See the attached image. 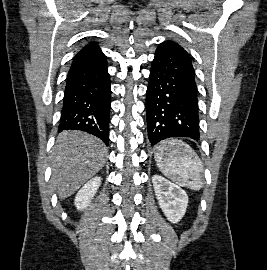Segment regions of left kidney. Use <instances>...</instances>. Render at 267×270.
I'll return each mask as SVG.
<instances>
[{
	"mask_svg": "<svg viewBox=\"0 0 267 270\" xmlns=\"http://www.w3.org/2000/svg\"><path fill=\"white\" fill-rule=\"evenodd\" d=\"M152 183L163 213L171 223H178L185 215L188 206L186 192L178 185L159 175L152 177Z\"/></svg>",
	"mask_w": 267,
	"mask_h": 270,
	"instance_id": "1",
	"label": "left kidney"
}]
</instances>
